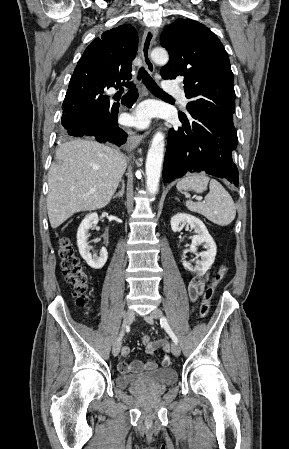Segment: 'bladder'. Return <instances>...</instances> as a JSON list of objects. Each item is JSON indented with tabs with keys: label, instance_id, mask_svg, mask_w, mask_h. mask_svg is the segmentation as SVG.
I'll return each mask as SVG.
<instances>
[{
	"label": "bladder",
	"instance_id": "31cf9c89",
	"mask_svg": "<svg viewBox=\"0 0 289 449\" xmlns=\"http://www.w3.org/2000/svg\"><path fill=\"white\" fill-rule=\"evenodd\" d=\"M177 372L173 368L154 369L141 374H121L115 378V385L120 389L131 387H164L176 383Z\"/></svg>",
	"mask_w": 289,
	"mask_h": 449
}]
</instances>
